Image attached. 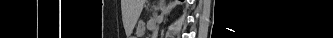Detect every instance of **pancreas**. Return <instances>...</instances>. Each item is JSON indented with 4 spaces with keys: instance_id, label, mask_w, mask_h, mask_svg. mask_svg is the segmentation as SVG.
<instances>
[{
    "instance_id": "1",
    "label": "pancreas",
    "mask_w": 333,
    "mask_h": 38,
    "mask_svg": "<svg viewBox=\"0 0 333 38\" xmlns=\"http://www.w3.org/2000/svg\"><path fill=\"white\" fill-rule=\"evenodd\" d=\"M139 32H140V35L142 36L143 32H144V26L142 24L139 26Z\"/></svg>"
}]
</instances>
